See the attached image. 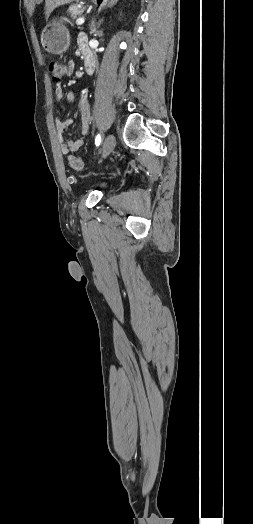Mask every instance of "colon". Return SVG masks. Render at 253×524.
<instances>
[{
  "label": "colon",
  "instance_id": "obj_1",
  "mask_svg": "<svg viewBox=\"0 0 253 524\" xmlns=\"http://www.w3.org/2000/svg\"><path fill=\"white\" fill-rule=\"evenodd\" d=\"M68 67L59 61H51L49 63V70L51 78L54 82H60L66 76ZM70 166L75 170H82L85 167L84 162L79 157L71 156L69 158Z\"/></svg>",
  "mask_w": 253,
  "mask_h": 524
}]
</instances>
